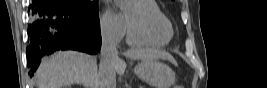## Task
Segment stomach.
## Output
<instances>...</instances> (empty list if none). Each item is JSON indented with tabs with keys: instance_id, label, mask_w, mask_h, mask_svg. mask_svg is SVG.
<instances>
[{
	"instance_id": "1",
	"label": "stomach",
	"mask_w": 267,
	"mask_h": 88,
	"mask_svg": "<svg viewBox=\"0 0 267 88\" xmlns=\"http://www.w3.org/2000/svg\"><path fill=\"white\" fill-rule=\"evenodd\" d=\"M134 72L141 80L155 88H170L175 81L173 71L157 60H142Z\"/></svg>"
}]
</instances>
